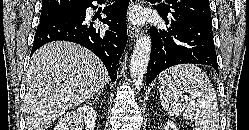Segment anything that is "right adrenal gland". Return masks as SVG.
<instances>
[{"mask_svg": "<svg viewBox=\"0 0 249 130\" xmlns=\"http://www.w3.org/2000/svg\"><path fill=\"white\" fill-rule=\"evenodd\" d=\"M104 89L100 90L96 95H95V99H98V97L100 96V94L103 92Z\"/></svg>", "mask_w": 249, "mask_h": 130, "instance_id": "obj_1", "label": "right adrenal gland"}]
</instances>
